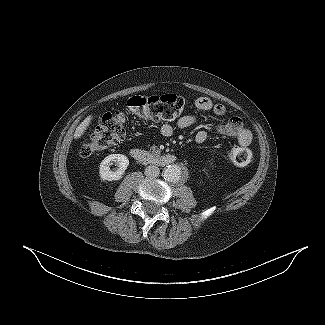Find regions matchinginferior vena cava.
Listing matches in <instances>:
<instances>
[{"label": "inferior vena cava", "mask_w": 325, "mask_h": 325, "mask_svg": "<svg viewBox=\"0 0 325 325\" xmlns=\"http://www.w3.org/2000/svg\"><path fill=\"white\" fill-rule=\"evenodd\" d=\"M160 170L157 166L150 165L145 168L144 174L150 178H155L159 175Z\"/></svg>", "instance_id": "602c4592"}]
</instances>
